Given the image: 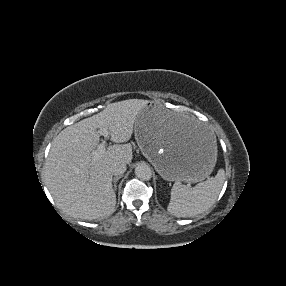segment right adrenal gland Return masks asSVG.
Here are the masks:
<instances>
[{
	"mask_svg": "<svg viewBox=\"0 0 286 286\" xmlns=\"http://www.w3.org/2000/svg\"><path fill=\"white\" fill-rule=\"evenodd\" d=\"M121 175L120 176H117V177H115L114 179H113V188H114V191H116V189H117V181L119 180V179H121Z\"/></svg>",
	"mask_w": 286,
	"mask_h": 286,
	"instance_id": "right-adrenal-gland-1",
	"label": "right adrenal gland"
}]
</instances>
